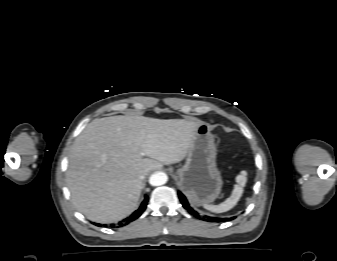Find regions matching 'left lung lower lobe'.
I'll use <instances>...</instances> for the list:
<instances>
[{
    "label": "left lung lower lobe",
    "instance_id": "obj_1",
    "mask_svg": "<svg viewBox=\"0 0 337 261\" xmlns=\"http://www.w3.org/2000/svg\"><path fill=\"white\" fill-rule=\"evenodd\" d=\"M178 195H179V198H180V201H181L183 207H184L190 214H192V215H194L195 217L199 218V217H200L199 213L196 212L194 209H192V208L190 207V205L188 204V201L186 200L185 196H184L181 192H179ZM201 219H202V220H205V221H208V222H220V221H221L220 218H214V217H210V216H203ZM223 220H224V221H229L230 219H229V218H224Z\"/></svg>",
    "mask_w": 337,
    "mask_h": 261
}]
</instances>
